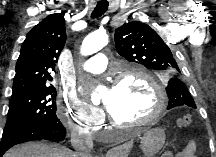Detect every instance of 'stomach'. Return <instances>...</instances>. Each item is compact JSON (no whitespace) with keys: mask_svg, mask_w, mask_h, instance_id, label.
<instances>
[{"mask_svg":"<svg viewBox=\"0 0 216 157\" xmlns=\"http://www.w3.org/2000/svg\"><path fill=\"white\" fill-rule=\"evenodd\" d=\"M165 142V132L161 128L148 129L141 137V150L144 157H154ZM117 157V156H114Z\"/></svg>","mask_w":216,"mask_h":157,"instance_id":"stomach-1","label":"stomach"}]
</instances>
